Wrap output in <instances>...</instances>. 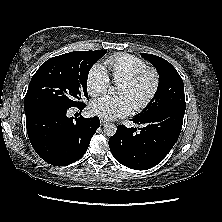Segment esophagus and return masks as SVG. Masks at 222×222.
Masks as SVG:
<instances>
[{"mask_svg":"<svg viewBox=\"0 0 222 222\" xmlns=\"http://www.w3.org/2000/svg\"><path fill=\"white\" fill-rule=\"evenodd\" d=\"M101 124H102V125H105V124H107V121L101 120Z\"/></svg>","mask_w":222,"mask_h":222,"instance_id":"34e87169","label":"esophagus"}]
</instances>
